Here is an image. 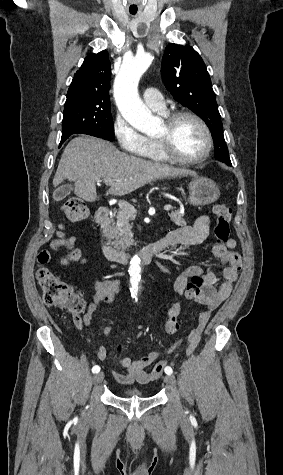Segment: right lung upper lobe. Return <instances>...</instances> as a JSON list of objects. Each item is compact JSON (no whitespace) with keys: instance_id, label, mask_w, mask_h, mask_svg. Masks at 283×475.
<instances>
[{"instance_id":"1","label":"right lung upper lobe","mask_w":283,"mask_h":475,"mask_svg":"<svg viewBox=\"0 0 283 475\" xmlns=\"http://www.w3.org/2000/svg\"><path fill=\"white\" fill-rule=\"evenodd\" d=\"M111 64L108 52L90 53L75 73L67 98L109 101Z\"/></svg>"}]
</instances>
